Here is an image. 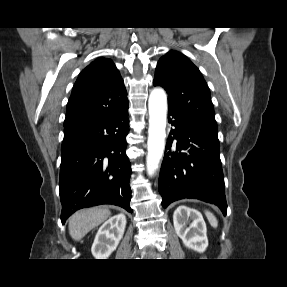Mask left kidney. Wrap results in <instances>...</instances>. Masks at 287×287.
Masks as SVG:
<instances>
[{
	"mask_svg": "<svg viewBox=\"0 0 287 287\" xmlns=\"http://www.w3.org/2000/svg\"><path fill=\"white\" fill-rule=\"evenodd\" d=\"M192 220L189 227L186 226ZM173 223L176 234L183 244L194 251L204 252L208 247L207 229L202 214L192 208L179 206L173 214Z\"/></svg>",
	"mask_w": 287,
	"mask_h": 287,
	"instance_id": "obj_1",
	"label": "left kidney"
}]
</instances>
